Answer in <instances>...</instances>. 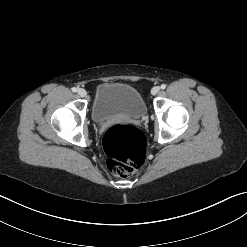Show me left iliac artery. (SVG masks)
Here are the masks:
<instances>
[{"label": "left iliac artery", "instance_id": "44dca946", "mask_svg": "<svg viewBox=\"0 0 247 247\" xmlns=\"http://www.w3.org/2000/svg\"><path fill=\"white\" fill-rule=\"evenodd\" d=\"M166 88V85L165 84H162L161 85V89H165Z\"/></svg>", "mask_w": 247, "mask_h": 247}]
</instances>
